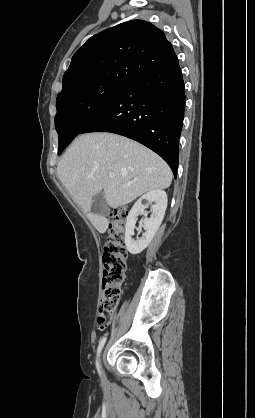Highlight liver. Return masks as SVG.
Segmentation results:
<instances>
[{"instance_id": "1", "label": "liver", "mask_w": 255, "mask_h": 418, "mask_svg": "<svg viewBox=\"0 0 255 418\" xmlns=\"http://www.w3.org/2000/svg\"><path fill=\"white\" fill-rule=\"evenodd\" d=\"M57 175L100 233L106 232L108 220L91 212L96 194L103 190L107 204L118 208L172 182L171 169L159 155L136 141L105 132L77 137L58 163Z\"/></svg>"}]
</instances>
